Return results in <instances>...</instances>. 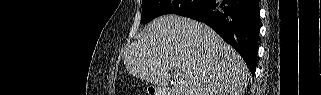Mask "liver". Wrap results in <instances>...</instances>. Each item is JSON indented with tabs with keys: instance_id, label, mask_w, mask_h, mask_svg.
Returning <instances> with one entry per match:
<instances>
[{
	"instance_id": "1",
	"label": "liver",
	"mask_w": 321,
	"mask_h": 95,
	"mask_svg": "<svg viewBox=\"0 0 321 95\" xmlns=\"http://www.w3.org/2000/svg\"><path fill=\"white\" fill-rule=\"evenodd\" d=\"M127 71L173 95H242L250 72L212 28L177 15L154 19L122 52Z\"/></svg>"
}]
</instances>
